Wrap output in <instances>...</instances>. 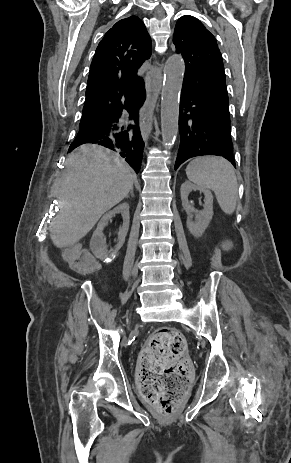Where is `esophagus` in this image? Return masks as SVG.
<instances>
[{"label":"esophagus","mask_w":291,"mask_h":463,"mask_svg":"<svg viewBox=\"0 0 291 463\" xmlns=\"http://www.w3.org/2000/svg\"><path fill=\"white\" fill-rule=\"evenodd\" d=\"M160 89H161V72L159 68H156L155 73L152 74V88H151V100L152 101H151L150 115L146 118V121H144L140 125L141 133L144 138L148 137L152 129L151 114L153 111L154 102L157 98L158 93L160 92Z\"/></svg>","instance_id":"1"}]
</instances>
